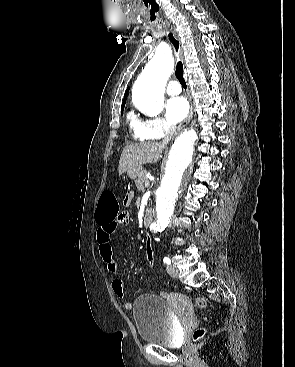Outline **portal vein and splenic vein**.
Wrapping results in <instances>:
<instances>
[{"mask_svg":"<svg viewBox=\"0 0 295 367\" xmlns=\"http://www.w3.org/2000/svg\"><path fill=\"white\" fill-rule=\"evenodd\" d=\"M149 185H150V183H149V181L147 180V181L145 182V187H149Z\"/></svg>","mask_w":295,"mask_h":367,"instance_id":"obj_1","label":"portal vein and splenic vein"}]
</instances>
